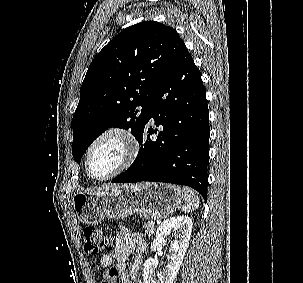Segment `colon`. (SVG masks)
I'll use <instances>...</instances> for the list:
<instances>
[{"label":"colon","instance_id":"1","mask_svg":"<svg viewBox=\"0 0 303 283\" xmlns=\"http://www.w3.org/2000/svg\"><path fill=\"white\" fill-rule=\"evenodd\" d=\"M83 241L86 252L91 255H97L102 250L109 248L112 244L110 234L106 230L93 225H88L84 228ZM117 276L118 271L115 268H111L105 273L102 282L108 283V277L115 280Z\"/></svg>","mask_w":303,"mask_h":283}]
</instances>
